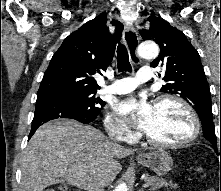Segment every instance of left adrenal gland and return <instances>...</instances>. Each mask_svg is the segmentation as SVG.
Wrapping results in <instances>:
<instances>
[{"instance_id": "obj_1", "label": "left adrenal gland", "mask_w": 221, "mask_h": 191, "mask_svg": "<svg viewBox=\"0 0 221 191\" xmlns=\"http://www.w3.org/2000/svg\"><path fill=\"white\" fill-rule=\"evenodd\" d=\"M139 191H143V189H139Z\"/></svg>"}]
</instances>
